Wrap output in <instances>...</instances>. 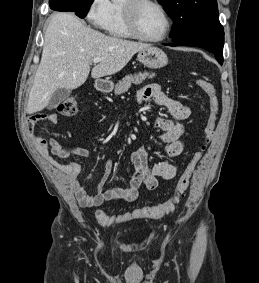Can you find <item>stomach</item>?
Returning a JSON list of instances; mask_svg holds the SVG:
<instances>
[{
    "mask_svg": "<svg viewBox=\"0 0 259 283\" xmlns=\"http://www.w3.org/2000/svg\"><path fill=\"white\" fill-rule=\"evenodd\" d=\"M137 58L145 67L157 69L164 67L168 63L167 55L158 47L149 46L138 52ZM100 87L110 90L112 84L100 83Z\"/></svg>",
    "mask_w": 259,
    "mask_h": 283,
    "instance_id": "1",
    "label": "stomach"
}]
</instances>
